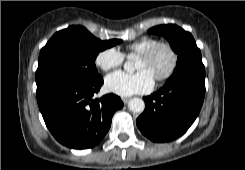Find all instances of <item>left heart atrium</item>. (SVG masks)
Here are the masks:
<instances>
[{"label":"left heart atrium","mask_w":245,"mask_h":170,"mask_svg":"<svg viewBox=\"0 0 245 170\" xmlns=\"http://www.w3.org/2000/svg\"><path fill=\"white\" fill-rule=\"evenodd\" d=\"M154 86V77L146 70L135 73L117 71L105 78L108 91L120 96L149 92Z\"/></svg>","instance_id":"left-heart-atrium-1"}]
</instances>
